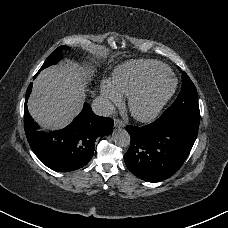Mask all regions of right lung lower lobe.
Segmentation results:
<instances>
[{"mask_svg": "<svg viewBox=\"0 0 228 228\" xmlns=\"http://www.w3.org/2000/svg\"><path fill=\"white\" fill-rule=\"evenodd\" d=\"M31 90L32 83L25 97L24 128L36 156L47 167L58 172L73 171L85 166L93 156L96 139L112 133L113 120L97 116L90 105L85 103L81 113L64 129L51 133L38 131V125L27 109Z\"/></svg>", "mask_w": 228, "mask_h": 228, "instance_id": "98d812e1", "label": "right lung lower lobe"}]
</instances>
